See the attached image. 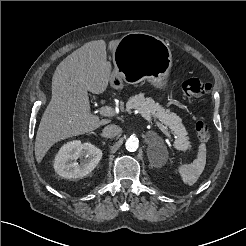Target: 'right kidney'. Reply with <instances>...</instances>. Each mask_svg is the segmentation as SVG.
<instances>
[{"label": "right kidney", "instance_id": "1", "mask_svg": "<svg viewBox=\"0 0 246 246\" xmlns=\"http://www.w3.org/2000/svg\"><path fill=\"white\" fill-rule=\"evenodd\" d=\"M102 151L91 143L73 140L64 144L54 160V169L63 178H82L97 166ZM80 159L78 163L76 160Z\"/></svg>", "mask_w": 246, "mask_h": 246}]
</instances>
